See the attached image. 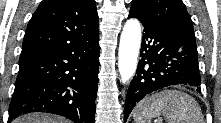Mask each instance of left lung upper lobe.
Masks as SVG:
<instances>
[{
    "label": "left lung upper lobe",
    "instance_id": "5c2ea615",
    "mask_svg": "<svg viewBox=\"0 0 221 123\" xmlns=\"http://www.w3.org/2000/svg\"><path fill=\"white\" fill-rule=\"evenodd\" d=\"M131 8L150 21L195 40L191 18L181 0H132Z\"/></svg>",
    "mask_w": 221,
    "mask_h": 123
}]
</instances>
